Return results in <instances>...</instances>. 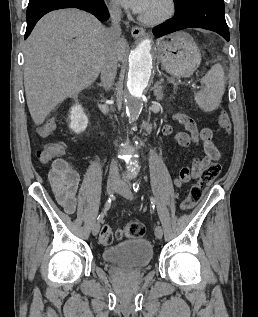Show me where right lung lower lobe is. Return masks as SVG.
<instances>
[{
	"mask_svg": "<svg viewBox=\"0 0 258 317\" xmlns=\"http://www.w3.org/2000/svg\"><path fill=\"white\" fill-rule=\"evenodd\" d=\"M63 8L85 10L96 16L100 21H105L109 18V13L103 0H29L26 12L27 29L25 39L43 15Z\"/></svg>",
	"mask_w": 258,
	"mask_h": 317,
	"instance_id": "1",
	"label": "right lung lower lobe"
}]
</instances>
